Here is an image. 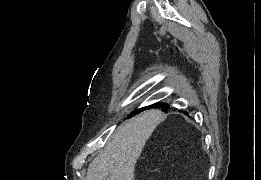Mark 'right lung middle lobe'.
<instances>
[{
    "mask_svg": "<svg viewBox=\"0 0 261 180\" xmlns=\"http://www.w3.org/2000/svg\"><path fill=\"white\" fill-rule=\"evenodd\" d=\"M158 106H161L163 109L167 110L168 105L167 104H162V103H157Z\"/></svg>",
    "mask_w": 261,
    "mask_h": 180,
    "instance_id": "dd1d6c3e",
    "label": "right lung middle lobe"
}]
</instances>
